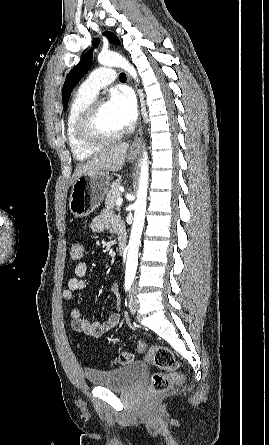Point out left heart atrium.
Wrapping results in <instances>:
<instances>
[{"instance_id":"1","label":"left heart atrium","mask_w":269,"mask_h":445,"mask_svg":"<svg viewBox=\"0 0 269 445\" xmlns=\"http://www.w3.org/2000/svg\"><path fill=\"white\" fill-rule=\"evenodd\" d=\"M108 104L122 128H127L135 122L137 105L130 91L121 90L112 92Z\"/></svg>"}]
</instances>
